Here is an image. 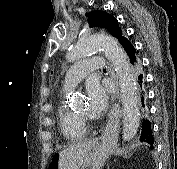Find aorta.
<instances>
[{
	"mask_svg": "<svg viewBox=\"0 0 177 169\" xmlns=\"http://www.w3.org/2000/svg\"><path fill=\"white\" fill-rule=\"evenodd\" d=\"M99 49L104 50L105 56L112 62L115 73L119 78L124 111L122 137L124 141H130L135 137L139 128L140 109L130 63L118 42L110 36L90 35L73 46L66 54V59L73 62Z\"/></svg>",
	"mask_w": 177,
	"mask_h": 169,
	"instance_id": "762f6f07",
	"label": "aorta"
}]
</instances>
